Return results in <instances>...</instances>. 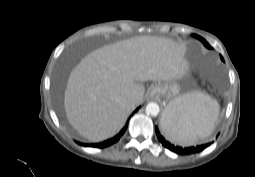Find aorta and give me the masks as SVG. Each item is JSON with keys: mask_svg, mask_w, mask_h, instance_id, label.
Returning <instances> with one entry per match:
<instances>
[{"mask_svg": "<svg viewBox=\"0 0 255 177\" xmlns=\"http://www.w3.org/2000/svg\"><path fill=\"white\" fill-rule=\"evenodd\" d=\"M160 112V108L159 105L157 103L154 102H150L147 104L146 106V113L156 116L158 115V113Z\"/></svg>", "mask_w": 255, "mask_h": 177, "instance_id": "aorta-1", "label": "aorta"}]
</instances>
